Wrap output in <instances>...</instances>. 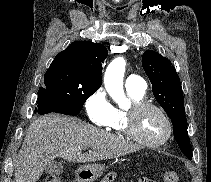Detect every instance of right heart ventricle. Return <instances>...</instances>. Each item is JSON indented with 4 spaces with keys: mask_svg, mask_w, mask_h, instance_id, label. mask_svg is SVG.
Segmentation results:
<instances>
[{
    "mask_svg": "<svg viewBox=\"0 0 211 182\" xmlns=\"http://www.w3.org/2000/svg\"><path fill=\"white\" fill-rule=\"evenodd\" d=\"M129 97L134 101L143 100L144 94H137L132 91H127ZM126 111L120 108L113 107V113L109 120V122L105 125V127L117 134L127 135L126 132V119H125Z\"/></svg>",
    "mask_w": 211,
    "mask_h": 182,
    "instance_id": "obj_1",
    "label": "right heart ventricle"
}]
</instances>
